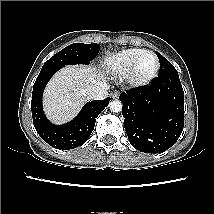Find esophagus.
I'll use <instances>...</instances> for the list:
<instances>
[{"mask_svg":"<svg viewBox=\"0 0 214 214\" xmlns=\"http://www.w3.org/2000/svg\"><path fill=\"white\" fill-rule=\"evenodd\" d=\"M111 97L114 98V99L118 98L119 97V91L115 90L114 92H112L111 93Z\"/></svg>","mask_w":214,"mask_h":214,"instance_id":"esophagus-1","label":"esophagus"}]
</instances>
